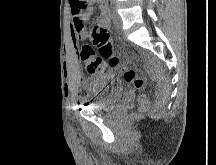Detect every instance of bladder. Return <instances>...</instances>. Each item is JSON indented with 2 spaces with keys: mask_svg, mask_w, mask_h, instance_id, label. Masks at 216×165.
<instances>
[{
  "mask_svg": "<svg viewBox=\"0 0 216 165\" xmlns=\"http://www.w3.org/2000/svg\"><path fill=\"white\" fill-rule=\"evenodd\" d=\"M119 81H121V76H114L112 73H102L94 76L90 81L92 101L89 105L95 111L109 110L115 99L122 97Z\"/></svg>",
  "mask_w": 216,
  "mask_h": 165,
  "instance_id": "bladder-1",
  "label": "bladder"
}]
</instances>
